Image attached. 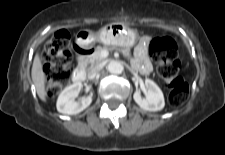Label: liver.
I'll return each instance as SVG.
<instances>
[{"label": "liver", "instance_id": "obj_1", "mask_svg": "<svg viewBox=\"0 0 225 155\" xmlns=\"http://www.w3.org/2000/svg\"><path fill=\"white\" fill-rule=\"evenodd\" d=\"M31 76L39 98L42 101H45V74L43 72V66L39 54H36L34 57Z\"/></svg>", "mask_w": 225, "mask_h": 155}]
</instances>
